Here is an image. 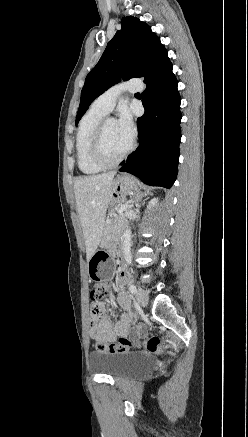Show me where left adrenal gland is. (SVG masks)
Instances as JSON below:
<instances>
[{"instance_id": "left-adrenal-gland-1", "label": "left adrenal gland", "mask_w": 248, "mask_h": 437, "mask_svg": "<svg viewBox=\"0 0 248 437\" xmlns=\"http://www.w3.org/2000/svg\"><path fill=\"white\" fill-rule=\"evenodd\" d=\"M141 198H142V195L138 193L135 197V199H136L135 201L138 202Z\"/></svg>"}]
</instances>
